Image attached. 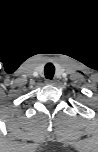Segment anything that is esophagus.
I'll return each instance as SVG.
<instances>
[{"mask_svg":"<svg viewBox=\"0 0 98 152\" xmlns=\"http://www.w3.org/2000/svg\"><path fill=\"white\" fill-rule=\"evenodd\" d=\"M45 83H46L47 85H54V84H55V81H54V80H51V79H47V80L45 81Z\"/></svg>","mask_w":98,"mask_h":152,"instance_id":"esophagus-1","label":"esophagus"}]
</instances>
